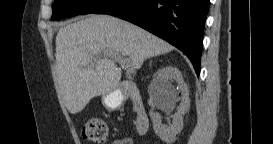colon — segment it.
<instances>
[{"label":"colon","instance_id":"obj_1","mask_svg":"<svg viewBox=\"0 0 273 144\" xmlns=\"http://www.w3.org/2000/svg\"><path fill=\"white\" fill-rule=\"evenodd\" d=\"M82 136L93 143H104L107 139V125L100 118H91L82 126Z\"/></svg>","mask_w":273,"mask_h":144}]
</instances>
